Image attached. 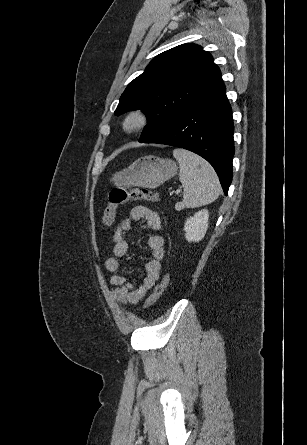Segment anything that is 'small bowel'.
I'll return each mask as SVG.
<instances>
[{"label":"small bowel","mask_w":307,"mask_h":445,"mask_svg":"<svg viewBox=\"0 0 307 445\" xmlns=\"http://www.w3.org/2000/svg\"><path fill=\"white\" fill-rule=\"evenodd\" d=\"M145 219L148 226L160 231L162 222L159 214L145 206L134 207L128 215L123 217L117 224L113 236V257L105 262L106 269L112 274L110 296L118 303L123 305H134L138 303L155 285L162 271V261L165 256L164 238L161 234H151L147 243L151 251L152 258L146 263V277L139 286L130 283L127 277L121 272V258H123L129 249L125 239L126 233L131 229L134 221Z\"/></svg>","instance_id":"1"}]
</instances>
